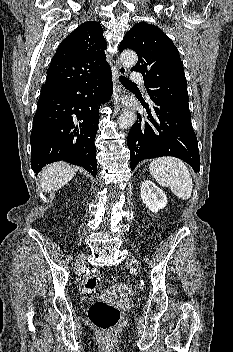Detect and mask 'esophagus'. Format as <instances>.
Here are the masks:
<instances>
[{"instance_id":"1","label":"esophagus","mask_w":233,"mask_h":352,"mask_svg":"<svg viewBox=\"0 0 233 352\" xmlns=\"http://www.w3.org/2000/svg\"><path fill=\"white\" fill-rule=\"evenodd\" d=\"M117 72H118V75H121V76L127 75V69L124 66H122L121 64H117ZM118 91L120 92V89H118ZM128 108L129 107L123 103L119 104V110L121 112L126 111Z\"/></svg>"}]
</instances>
